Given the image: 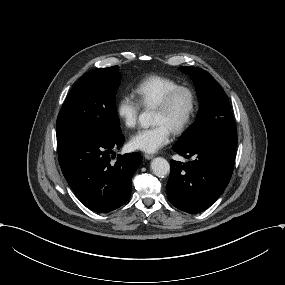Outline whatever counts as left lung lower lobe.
<instances>
[{
	"instance_id": "1",
	"label": "left lung lower lobe",
	"mask_w": 285,
	"mask_h": 285,
	"mask_svg": "<svg viewBox=\"0 0 285 285\" xmlns=\"http://www.w3.org/2000/svg\"><path fill=\"white\" fill-rule=\"evenodd\" d=\"M173 150L194 161H171L167 197L172 205L196 214L210 207L228 185L234 168L236 130L210 135L186 149Z\"/></svg>"
}]
</instances>
